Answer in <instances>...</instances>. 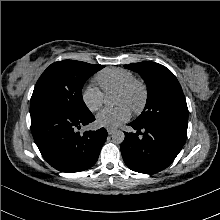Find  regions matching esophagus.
I'll return each instance as SVG.
<instances>
[{
    "label": "esophagus",
    "mask_w": 220,
    "mask_h": 220,
    "mask_svg": "<svg viewBox=\"0 0 220 220\" xmlns=\"http://www.w3.org/2000/svg\"><path fill=\"white\" fill-rule=\"evenodd\" d=\"M107 132H108L109 135H111V134H113L115 132V129L108 128Z\"/></svg>",
    "instance_id": "obj_1"
}]
</instances>
